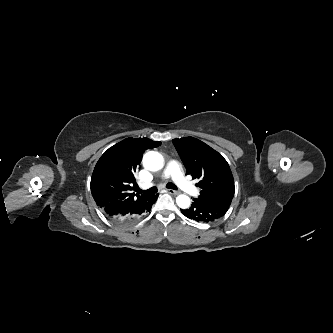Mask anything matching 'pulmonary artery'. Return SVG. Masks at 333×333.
<instances>
[{
    "label": "pulmonary artery",
    "instance_id": "e3ab8cb5",
    "mask_svg": "<svg viewBox=\"0 0 333 333\" xmlns=\"http://www.w3.org/2000/svg\"><path fill=\"white\" fill-rule=\"evenodd\" d=\"M163 178L171 177L174 182L181 188L184 192L189 195H197L198 189L197 187L188 181L181 170L180 164L176 160H172L168 162L164 171H163Z\"/></svg>",
    "mask_w": 333,
    "mask_h": 333
}]
</instances>
